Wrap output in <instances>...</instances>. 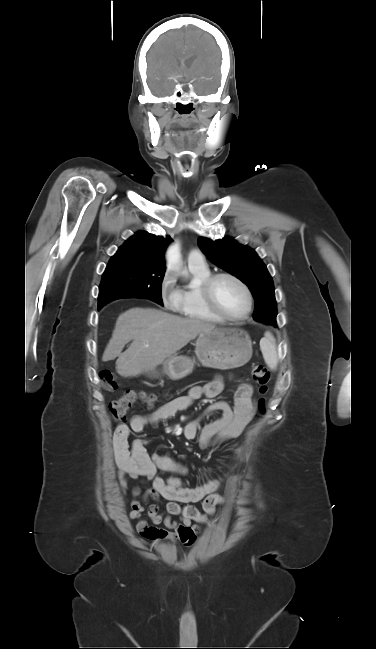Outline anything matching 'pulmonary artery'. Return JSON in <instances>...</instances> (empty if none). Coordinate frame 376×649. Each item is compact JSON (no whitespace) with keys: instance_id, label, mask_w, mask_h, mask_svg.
Here are the masks:
<instances>
[{"instance_id":"obj_1","label":"pulmonary artery","mask_w":376,"mask_h":649,"mask_svg":"<svg viewBox=\"0 0 376 649\" xmlns=\"http://www.w3.org/2000/svg\"><path fill=\"white\" fill-rule=\"evenodd\" d=\"M188 263L192 265H205V257L198 249H192L188 254Z\"/></svg>"}]
</instances>
